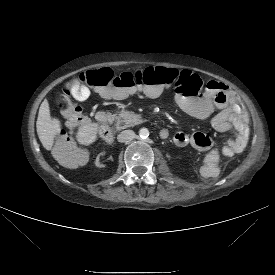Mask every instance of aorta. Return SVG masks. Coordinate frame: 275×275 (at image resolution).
<instances>
[{
	"label": "aorta",
	"instance_id": "obj_1",
	"mask_svg": "<svg viewBox=\"0 0 275 275\" xmlns=\"http://www.w3.org/2000/svg\"><path fill=\"white\" fill-rule=\"evenodd\" d=\"M139 136L141 138H147L149 136V130L147 128H141L139 130Z\"/></svg>",
	"mask_w": 275,
	"mask_h": 275
}]
</instances>
